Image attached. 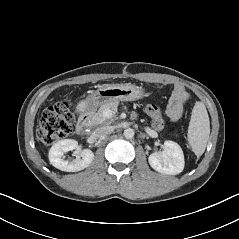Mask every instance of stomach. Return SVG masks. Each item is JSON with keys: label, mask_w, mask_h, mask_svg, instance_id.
I'll return each instance as SVG.
<instances>
[{"label": "stomach", "mask_w": 239, "mask_h": 239, "mask_svg": "<svg viewBox=\"0 0 239 239\" xmlns=\"http://www.w3.org/2000/svg\"><path fill=\"white\" fill-rule=\"evenodd\" d=\"M145 92L141 87L133 84H107L100 86L87 98L88 112L115 101H135L143 98Z\"/></svg>", "instance_id": "1"}]
</instances>
